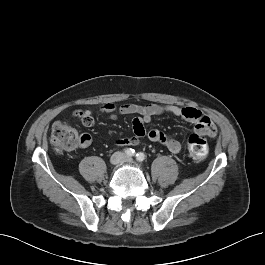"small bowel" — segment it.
Masks as SVG:
<instances>
[{
  "mask_svg": "<svg viewBox=\"0 0 265 265\" xmlns=\"http://www.w3.org/2000/svg\"><path fill=\"white\" fill-rule=\"evenodd\" d=\"M101 111L108 114L112 119H115L118 115H138L132 120L134 136L129 138H117L115 144L118 146H136L147 137L152 142L161 143L173 154L180 153L182 145L178 140L158 129H150L147 131L145 128V124L149 123L154 116L162 114H171L195 123V129L201 135L214 137L217 133L213 121L202 111L193 107L158 105L154 103L147 105L129 103L116 107L113 103H106L101 107ZM74 116L77 117L84 126L89 127L94 124L93 113L89 109L76 111ZM90 143V135L83 134L82 146L87 147Z\"/></svg>",
  "mask_w": 265,
  "mask_h": 265,
  "instance_id": "small-bowel-1",
  "label": "small bowel"
}]
</instances>
